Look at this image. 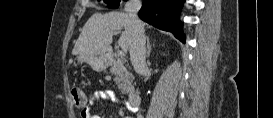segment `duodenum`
Returning <instances> with one entry per match:
<instances>
[{
	"mask_svg": "<svg viewBox=\"0 0 273 118\" xmlns=\"http://www.w3.org/2000/svg\"><path fill=\"white\" fill-rule=\"evenodd\" d=\"M141 101V93L138 89L131 90L127 95V102L131 108H136Z\"/></svg>",
	"mask_w": 273,
	"mask_h": 118,
	"instance_id": "duodenum-1",
	"label": "duodenum"
}]
</instances>
